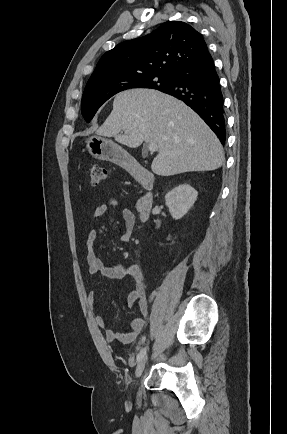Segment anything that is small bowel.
Here are the masks:
<instances>
[{"label":"small bowel","instance_id":"small-bowel-1","mask_svg":"<svg viewBox=\"0 0 287 434\" xmlns=\"http://www.w3.org/2000/svg\"><path fill=\"white\" fill-rule=\"evenodd\" d=\"M111 208L116 209L119 212L122 221L121 240L123 242H129L134 228V214L129 208L121 206L115 197H110L106 203L98 205L94 210L93 217L95 219L102 218ZM96 239V232L90 230L86 237L88 247L86 257L88 273L90 275L100 274L102 277L113 280H121L126 275L130 276L132 288L127 297V305L132 307L137 304L140 316L135 318L130 323L129 327L122 333H117L113 329L109 328L107 321L102 316H96L95 323L98 327L105 330V338L107 341L129 344L133 342L143 330L149 310L143 272L141 267L137 264H105L94 252L93 247ZM88 303L91 308H94V292L88 294Z\"/></svg>","mask_w":287,"mask_h":434}]
</instances>
